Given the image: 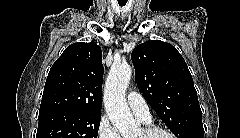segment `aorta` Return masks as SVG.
Returning <instances> with one entry per match:
<instances>
[{
    "label": "aorta",
    "mask_w": 240,
    "mask_h": 138,
    "mask_svg": "<svg viewBox=\"0 0 240 138\" xmlns=\"http://www.w3.org/2000/svg\"><path fill=\"white\" fill-rule=\"evenodd\" d=\"M131 74L132 69L129 65H113L108 74L104 91V105L109 120L123 138H132L138 129V124L125 99V91Z\"/></svg>",
    "instance_id": "aorta-1"
}]
</instances>
